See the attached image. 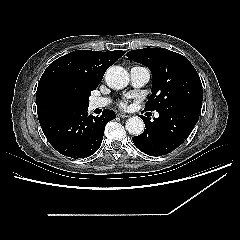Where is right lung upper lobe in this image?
<instances>
[{"instance_id": "right-lung-upper-lobe-1", "label": "right lung upper lobe", "mask_w": 240, "mask_h": 240, "mask_svg": "<svg viewBox=\"0 0 240 240\" xmlns=\"http://www.w3.org/2000/svg\"><path fill=\"white\" fill-rule=\"evenodd\" d=\"M125 51L76 50L53 61L44 71L37 88V113L42 123L57 113L74 108L64 98L67 90H95L105 71Z\"/></svg>"}]
</instances>
